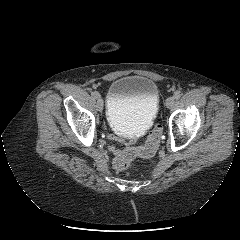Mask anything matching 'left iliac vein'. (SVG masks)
I'll return each mask as SVG.
<instances>
[{"instance_id": "1", "label": "left iliac vein", "mask_w": 240, "mask_h": 240, "mask_svg": "<svg viewBox=\"0 0 240 240\" xmlns=\"http://www.w3.org/2000/svg\"><path fill=\"white\" fill-rule=\"evenodd\" d=\"M174 103H175V98L173 96L168 97L165 102L167 108L169 109H171L174 106Z\"/></svg>"}]
</instances>
